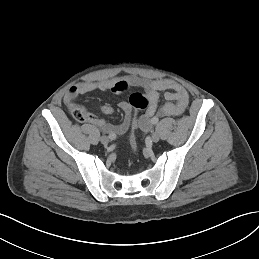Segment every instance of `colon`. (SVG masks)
I'll list each match as a JSON object with an SVG mask.
<instances>
[{"label":"colon","instance_id":"1","mask_svg":"<svg viewBox=\"0 0 259 259\" xmlns=\"http://www.w3.org/2000/svg\"><path fill=\"white\" fill-rule=\"evenodd\" d=\"M129 103L136 112L135 117L133 118V121H132V134L130 137L132 149L136 150L137 144H136V139H135V135H134V130L137 128V126L139 124L137 112L147 109V107H148L147 95L138 93V92L133 93L129 98ZM70 111H71L72 116L77 121L83 122V121H86L88 118L89 113L83 105L73 103L70 105Z\"/></svg>","mask_w":259,"mask_h":259}]
</instances>
